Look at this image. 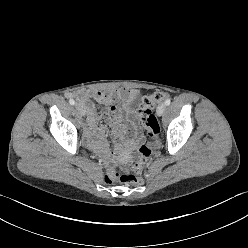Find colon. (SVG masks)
I'll use <instances>...</instances> for the list:
<instances>
[{"label": "colon", "instance_id": "obj_1", "mask_svg": "<svg viewBox=\"0 0 248 248\" xmlns=\"http://www.w3.org/2000/svg\"><path fill=\"white\" fill-rule=\"evenodd\" d=\"M166 96L167 94L165 92L157 91L142 99L138 112L151 140L140 148L139 156L130 169L122 173L109 170L104 177L105 183L113 184L119 181L125 184H136L141 181L142 172L152 155L153 147L159 134V125L152 110L158 103L163 101Z\"/></svg>", "mask_w": 248, "mask_h": 248}]
</instances>
